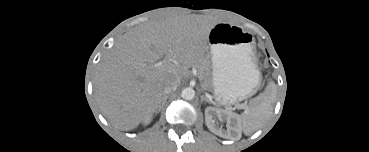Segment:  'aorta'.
Listing matches in <instances>:
<instances>
[{
    "label": "aorta",
    "instance_id": "762f6f07",
    "mask_svg": "<svg viewBox=\"0 0 369 152\" xmlns=\"http://www.w3.org/2000/svg\"><path fill=\"white\" fill-rule=\"evenodd\" d=\"M195 96V90L193 88L187 87L182 90L181 97L185 100H192Z\"/></svg>",
    "mask_w": 369,
    "mask_h": 152
}]
</instances>
